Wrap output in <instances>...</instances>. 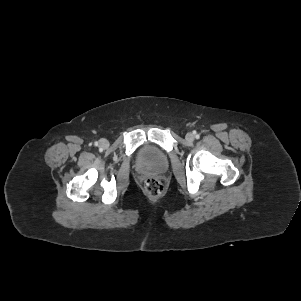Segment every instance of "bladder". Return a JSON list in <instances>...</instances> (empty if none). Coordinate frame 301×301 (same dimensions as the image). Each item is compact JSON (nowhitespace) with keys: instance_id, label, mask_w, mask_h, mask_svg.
I'll use <instances>...</instances> for the list:
<instances>
[{"instance_id":"1","label":"bladder","mask_w":301,"mask_h":301,"mask_svg":"<svg viewBox=\"0 0 301 301\" xmlns=\"http://www.w3.org/2000/svg\"><path fill=\"white\" fill-rule=\"evenodd\" d=\"M137 163L142 170L161 173L168 167V158L158 147L147 145L140 150Z\"/></svg>"}]
</instances>
